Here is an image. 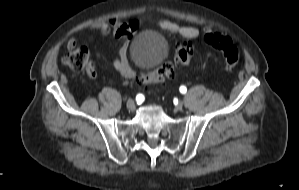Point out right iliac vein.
<instances>
[{
	"label": "right iliac vein",
	"mask_w": 299,
	"mask_h": 190,
	"mask_svg": "<svg viewBox=\"0 0 299 190\" xmlns=\"http://www.w3.org/2000/svg\"><path fill=\"white\" fill-rule=\"evenodd\" d=\"M126 106L129 110H134L135 102L132 99H130V100L127 101Z\"/></svg>",
	"instance_id": "obj_1"
}]
</instances>
